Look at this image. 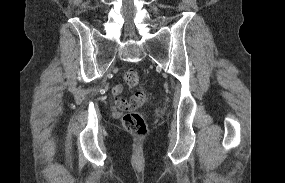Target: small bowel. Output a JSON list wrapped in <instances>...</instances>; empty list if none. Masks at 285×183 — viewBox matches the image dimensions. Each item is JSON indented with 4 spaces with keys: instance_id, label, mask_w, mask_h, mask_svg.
<instances>
[{
    "instance_id": "obj_1",
    "label": "small bowel",
    "mask_w": 285,
    "mask_h": 183,
    "mask_svg": "<svg viewBox=\"0 0 285 183\" xmlns=\"http://www.w3.org/2000/svg\"><path fill=\"white\" fill-rule=\"evenodd\" d=\"M112 95L116 99V103L119 107L126 109L129 101L121 97V94L123 92V88L121 84H115L111 89Z\"/></svg>"
}]
</instances>
